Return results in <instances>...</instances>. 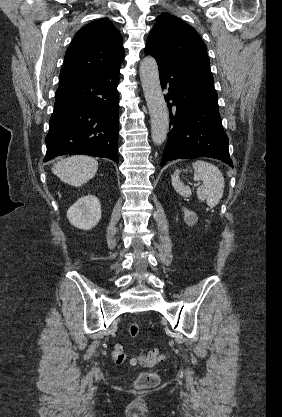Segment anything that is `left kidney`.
Masks as SVG:
<instances>
[{
  "mask_svg": "<svg viewBox=\"0 0 282 417\" xmlns=\"http://www.w3.org/2000/svg\"><path fill=\"white\" fill-rule=\"evenodd\" d=\"M184 221L188 227H194V225L198 223V217L195 215V213H192V211H187V209H185Z\"/></svg>",
  "mask_w": 282,
  "mask_h": 417,
  "instance_id": "left-kidney-1",
  "label": "left kidney"
}]
</instances>
